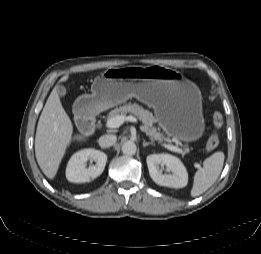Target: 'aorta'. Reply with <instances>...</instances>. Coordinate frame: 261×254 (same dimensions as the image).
I'll return each instance as SVG.
<instances>
[{
	"instance_id": "1",
	"label": "aorta",
	"mask_w": 261,
	"mask_h": 254,
	"mask_svg": "<svg viewBox=\"0 0 261 254\" xmlns=\"http://www.w3.org/2000/svg\"><path fill=\"white\" fill-rule=\"evenodd\" d=\"M136 144L132 141H127L122 145V152L125 155H134L136 153Z\"/></svg>"
}]
</instances>
